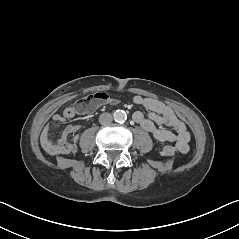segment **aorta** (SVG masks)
Segmentation results:
<instances>
[{
    "label": "aorta",
    "mask_w": 239,
    "mask_h": 239,
    "mask_svg": "<svg viewBox=\"0 0 239 239\" xmlns=\"http://www.w3.org/2000/svg\"><path fill=\"white\" fill-rule=\"evenodd\" d=\"M113 116L114 120L119 123L124 122L127 119V114L124 110L115 111Z\"/></svg>",
    "instance_id": "aorta-1"
}]
</instances>
